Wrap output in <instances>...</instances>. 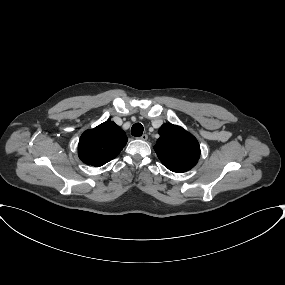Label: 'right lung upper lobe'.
<instances>
[{
    "mask_svg": "<svg viewBox=\"0 0 285 285\" xmlns=\"http://www.w3.org/2000/svg\"><path fill=\"white\" fill-rule=\"evenodd\" d=\"M125 132L111 120L86 130L78 144L79 158L86 164L100 167L114 159L126 145Z\"/></svg>",
    "mask_w": 285,
    "mask_h": 285,
    "instance_id": "1",
    "label": "right lung upper lobe"
}]
</instances>
